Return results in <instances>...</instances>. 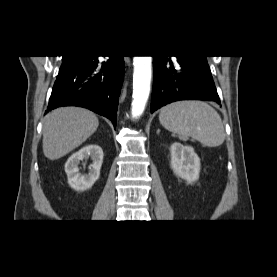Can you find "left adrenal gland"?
I'll use <instances>...</instances> for the list:
<instances>
[{"instance_id": "obj_1", "label": "left adrenal gland", "mask_w": 277, "mask_h": 277, "mask_svg": "<svg viewBox=\"0 0 277 277\" xmlns=\"http://www.w3.org/2000/svg\"><path fill=\"white\" fill-rule=\"evenodd\" d=\"M160 132V130H157V133H159Z\"/></svg>"}]
</instances>
